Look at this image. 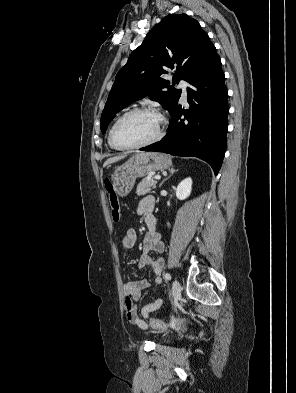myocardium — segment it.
I'll use <instances>...</instances> for the list:
<instances>
[{"instance_id": "1", "label": "myocardium", "mask_w": 296, "mask_h": 393, "mask_svg": "<svg viewBox=\"0 0 296 393\" xmlns=\"http://www.w3.org/2000/svg\"><path fill=\"white\" fill-rule=\"evenodd\" d=\"M137 113H150V114H154V115H156L158 117L160 125H159V128H158V131H157L156 135L153 138H151L150 140H148V141H145V142H142V143H139V144H135V145H128L127 146V145L119 144L117 142L116 138H115V132H116L117 127L119 126V124L124 119H126L127 117H129V116H131L133 114H137ZM165 125H166V120H165L164 116L159 111H157L156 109L150 108V107L134 108V109H131V110L125 112L124 114H122L115 121V123L113 124V126L111 127L110 132H109V140H110L111 145L115 149H118V150H135V149H140V148H143V147L150 146V145L158 142L159 140H161L162 137L164 136Z\"/></svg>"}]
</instances>
